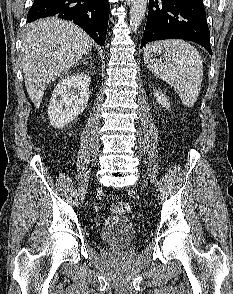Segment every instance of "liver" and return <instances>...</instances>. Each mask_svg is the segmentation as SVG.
I'll return each instance as SVG.
<instances>
[{
	"instance_id": "liver-1",
	"label": "liver",
	"mask_w": 233,
	"mask_h": 294,
	"mask_svg": "<svg viewBox=\"0 0 233 294\" xmlns=\"http://www.w3.org/2000/svg\"><path fill=\"white\" fill-rule=\"evenodd\" d=\"M92 49V39L77 25L56 17L32 23L22 45L27 93L39 108L47 85L78 63Z\"/></svg>"
}]
</instances>
